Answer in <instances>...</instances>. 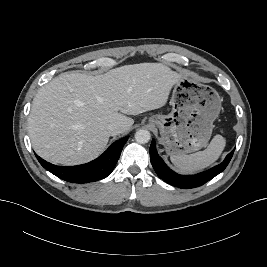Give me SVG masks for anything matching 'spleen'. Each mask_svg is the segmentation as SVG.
Here are the masks:
<instances>
[{
  "mask_svg": "<svg viewBox=\"0 0 267 267\" xmlns=\"http://www.w3.org/2000/svg\"><path fill=\"white\" fill-rule=\"evenodd\" d=\"M226 145L225 138L221 135H216L210 142L207 149L190 155H171V162L182 172L192 173L202 170L214 163Z\"/></svg>",
  "mask_w": 267,
  "mask_h": 267,
  "instance_id": "spleen-1",
  "label": "spleen"
}]
</instances>
